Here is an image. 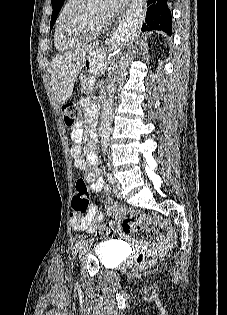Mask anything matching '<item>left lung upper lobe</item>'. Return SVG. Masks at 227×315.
<instances>
[{"instance_id": "left-lung-upper-lobe-1", "label": "left lung upper lobe", "mask_w": 227, "mask_h": 315, "mask_svg": "<svg viewBox=\"0 0 227 315\" xmlns=\"http://www.w3.org/2000/svg\"><path fill=\"white\" fill-rule=\"evenodd\" d=\"M51 2H52L53 12H52V16H51L50 27L52 28L54 23H55L56 17L62 8L64 0H51Z\"/></svg>"}]
</instances>
